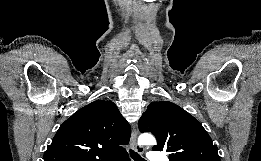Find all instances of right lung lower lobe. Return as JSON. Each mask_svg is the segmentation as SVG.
Instances as JSON below:
<instances>
[{"mask_svg":"<svg viewBox=\"0 0 261 161\" xmlns=\"http://www.w3.org/2000/svg\"><path fill=\"white\" fill-rule=\"evenodd\" d=\"M112 161H130V159L128 158L127 153H123L117 156L116 158H114Z\"/></svg>","mask_w":261,"mask_h":161,"instance_id":"1","label":"right lung lower lobe"}]
</instances>
